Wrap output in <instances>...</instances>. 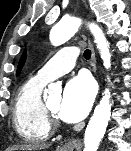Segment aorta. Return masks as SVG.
Returning a JSON list of instances; mask_svg holds the SVG:
<instances>
[{
    "label": "aorta",
    "mask_w": 131,
    "mask_h": 151,
    "mask_svg": "<svg viewBox=\"0 0 131 151\" xmlns=\"http://www.w3.org/2000/svg\"><path fill=\"white\" fill-rule=\"evenodd\" d=\"M81 23V19L76 17H68L61 20L51 30L50 40L52 44L58 46L68 41L77 32ZM88 26L95 38L104 67L108 69L111 66L109 42L106 40L103 31L96 24L90 23ZM111 106L110 92L106 89L86 127L84 136V151L98 150V146L105 134L111 117Z\"/></svg>",
    "instance_id": "1"
}]
</instances>
